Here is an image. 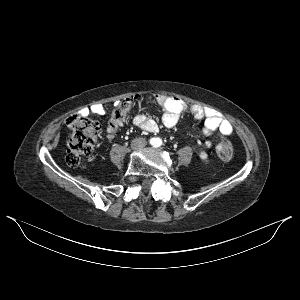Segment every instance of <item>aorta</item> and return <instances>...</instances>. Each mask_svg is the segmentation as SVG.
Masks as SVG:
<instances>
[{"instance_id":"1","label":"aorta","mask_w":300,"mask_h":300,"mask_svg":"<svg viewBox=\"0 0 300 300\" xmlns=\"http://www.w3.org/2000/svg\"><path fill=\"white\" fill-rule=\"evenodd\" d=\"M152 144L156 147H159L162 145V140L160 138H154Z\"/></svg>"}]
</instances>
